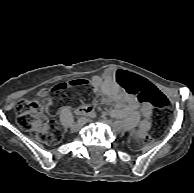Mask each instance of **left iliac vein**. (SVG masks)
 I'll use <instances>...</instances> for the list:
<instances>
[{"mask_svg":"<svg viewBox=\"0 0 194 193\" xmlns=\"http://www.w3.org/2000/svg\"><path fill=\"white\" fill-rule=\"evenodd\" d=\"M103 122L105 124L110 125L114 132H119L121 130V125L119 123H117V122H112V121L106 120V119L103 120Z\"/></svg>","mask_w":194,"mask_h":193,"instance_id":"1","label":"left iliac vein"}]
</instances>
